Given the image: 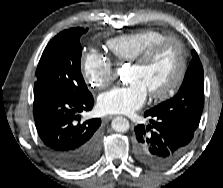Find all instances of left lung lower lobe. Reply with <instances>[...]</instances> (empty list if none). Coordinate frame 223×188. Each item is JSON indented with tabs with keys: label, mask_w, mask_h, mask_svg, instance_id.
<instances>
[{
	"label": "left lung lower lobe",
	"mask_w": 223,
	"mask_h": 188,
	"mask_svg": "<svg viewBox=\"0 0 223 188\" xmlns=\"http://www.w3.org/2000/svg\"><path fill=\"white\" fill-rule=\"evenodd\" d=\"M150 125L134 128L135 156L144 165L165 168L176 163L188 150L194 131L146 111Z\"/></svg>",
	"instance_id": "obj_1"
}]
</instances>
